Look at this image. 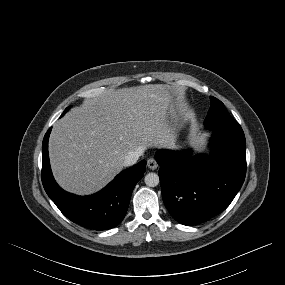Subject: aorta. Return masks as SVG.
<instances>
[{"mask_svg":"<svg viewBox=\"0 0 285 285\" xmlns=\"http://www.w3.org/2000/svg\"><path fill=\"white\" fill-rule=\"evenodd\" d=\"M145 184L149 187H155L159 184V176L156 173H148L144 178Z\"/></svg>","mask_w":285,"mask_h":285,"instance_id":"1","label":"aorta"}]
</instances>
